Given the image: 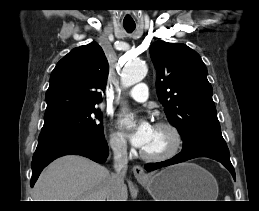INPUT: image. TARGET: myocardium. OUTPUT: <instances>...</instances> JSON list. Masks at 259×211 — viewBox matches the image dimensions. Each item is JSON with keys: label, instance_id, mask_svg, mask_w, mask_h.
<instances>
[{"label": "myocardium", "instance_id": "myocardium-1", "mask_svg": "<svg viewBox=\"0 0 259 211\" xmlns=\"http://www.w3.org/2000/svg\"><path fill=\"white\" fill-rule=\"evenodd\" d=\"M154 127L159 129H165L170 135V146L164 152L158 154L147 153L144 150H140V155L144 160L152 162H160L168 160L174 157L180 150L182 145V136L179 129L169 121H159Z\"/></svg>", "mask_w": 259, "mask_h": 211}]
</instances>
